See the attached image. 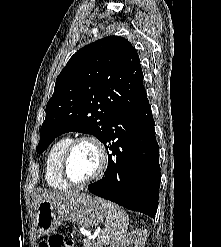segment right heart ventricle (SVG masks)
<instances>
[{"mask_svg":"<svg viewBox=\"0 0 221 247\" xmlns=\"http://www.w3.org/2000/svg\"><path fill=\"white\" fill-rule=\"evenodd\" d=\"M71 140L69 136L60 138L51 146L46 156V181L52 188L57 190H66L70 187L60 174V164L62 156Z\"/></svg>","mask_w":221,"mask_h":247,"instance_id":"right-heart-ventricle-1","label":"right heart ventricle"}]
</instances>
